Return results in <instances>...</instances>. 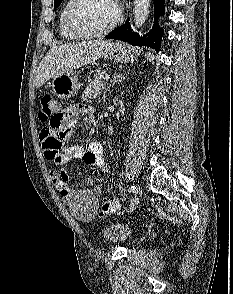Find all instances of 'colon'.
I'll return each instance as SVG.
<instances>
[{"label": "colon", "instance_id": "1", "mask_svg": "<svg viewBox=\"0 0 233 294\" xmlns=\"http://www.w3.org/2000/svg\"><path fill=\"white\" fill-rule=\"evenodd\" d=\"M60 104L52 95H45L41 99V110L39 112V118L41 121L47 122L48 117H56L52 115V110H61ZM119 210V203L117 199L111 198L107 200L99 209L98 215L104 217L106 215L115 213Z\"/></svg>", "mask_w": 233, "mask_h": 294}]
</instances>
